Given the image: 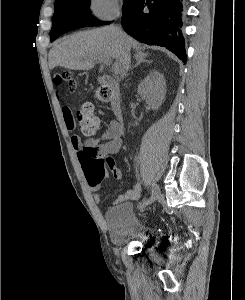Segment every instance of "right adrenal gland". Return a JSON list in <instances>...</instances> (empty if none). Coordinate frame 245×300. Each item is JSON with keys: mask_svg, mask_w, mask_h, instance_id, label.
Returning a JSON list of instances; mask_svg holds the SVG:
<instances>
[{"mask_svg": "<svg viewBox=\"0 0 245 300\" xmlns=\"http://www.w3.org/2000/svg\"><path fill=\"white\" fill-rule=\"evenodd\" d=\"M134 58H135V60H136V64L131 68V70H132L133 68L137 67L138 65H140L141 63H148V64L152 63V61L147 60V59H145L144 57L139 56V55H137V54L134 55Z\"/></svg>", "mask_w": 245, "mask_h": 300, "instance_id": "1", "label": "right adrenal gland"}]
</instances>
